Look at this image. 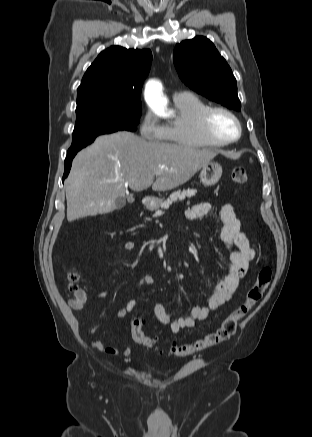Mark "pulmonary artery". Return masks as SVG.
Wrapping results in <instances>:
<instances>
[{
    "label": "pulmonary artery",
    "mask_w": 312,
    "mask_h": 437,
    "mask_svg": "<svg viewBox=\"0 0 312 437\" xmlns=\"http://www.w3.org/2000/svg\"><path fill=\"white\" fill-rule=\"evenodd\" d=\"M182 95H183V93H179V92L174 93L173 100L179 99Z\"/></svg>",
    "instance_id": "1"
}]
</instances>
